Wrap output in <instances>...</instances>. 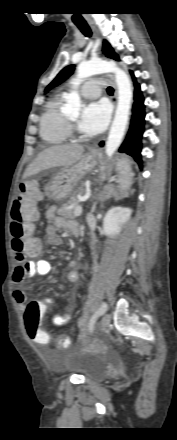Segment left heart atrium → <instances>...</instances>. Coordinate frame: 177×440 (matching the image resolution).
Segmentation results:
<instances>
[{"instance_id":"left-heart-atrium-1","label":"left heart atrium","mask_w":177,"mask_h":440,"mask_svg":"<svg viewBox=\"0 0 177 440\" xmlns=\"http://www.w3.org/2000/svg\"><path fill=\"white\" fill-rule=\"evenodd\" d=\"M109 119L110 109L106 102H91L83 109L78 127L85 133L98 134L106 128Z\"/></svg>"}]
</instances>
